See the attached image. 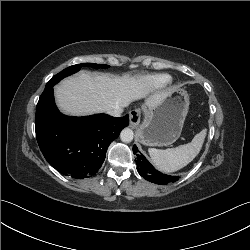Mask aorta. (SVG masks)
<instances>
[{
    "label": "aorta",
    "instance_id": "obj_1",
    "mask_svg": "<svg viewBox=\"0 0 250 250\" xmlns=\"http://www.w3.org/2000/svg\"><path fill=\"white\" fill-rule=\"evenodd\" d=\"M134 133L130 128H125L120 133V139L122 142L129 143L133 140Z\"/></svg>",
    "mask_w": 250,
    "mask_h": 250
}]
</instances>
